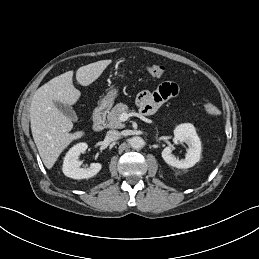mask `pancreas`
<instances>
[{
    "mask_svg": "<svg viewBox=\"0 0 259 259\" xmlns=\"http://www.w3.org/2000/svg\"><path fill=\"white\" fill-rule=\"evenodd\" d=\"M129 108L126 104L118 103L107 115L108 127L109 128H124V124L119 120L122 113H128Z\"/></svg>",
    "mask_w": 259,
    "mask_h": 259,
    "instance_id": "cf45deb5",
    "label": "pancreas"
}]
</instances>
